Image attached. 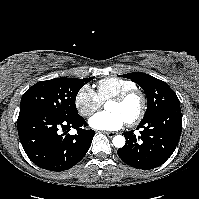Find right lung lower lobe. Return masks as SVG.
Instances as JSON below:
<instances>
[{"label": "right lung lower lobe", "instance_id": "right-lung-lower-lobe-1", "mask_svg": "<svg viewBox=\"0 0 199 199\" xmlns=\"http://www.w3.org/2000/svg\"><path fill=\"white\" fill-rule=\"evenodd\" d=\"M83 125L86 122L80 115L62 118L41 110L20 112L17 120L19 138L30 160L57 172L73 167L88 151L95 131L84 130ZM71 128L77 134L70 135Z\"/></svg>", "mask_w": 199, "mask_h": 199}]
</instances>
